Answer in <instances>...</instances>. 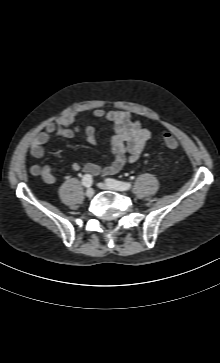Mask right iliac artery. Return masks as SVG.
Returning a JSON list of instances; mask_svg holds the SVG:
<instances>
[{
    "mask_svg": "<svg viewBox=\"0 0 220 363\" xmlns=\"http://www.w3.org/2000/svg\"><path fill=\"white\" fill-rule=\"evenodd\" d=\"M93 183L92 176L90 174H85L82 178V184L85 187H90Z\"/></svg>",
    "mask_w": 220,
    "mask_h": 363,
    "instance_id": "obj_1",
    "label": "right iliac artery"
}]
</instances>
